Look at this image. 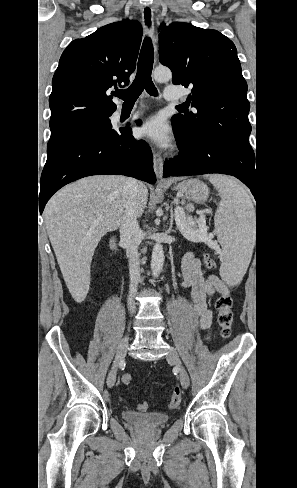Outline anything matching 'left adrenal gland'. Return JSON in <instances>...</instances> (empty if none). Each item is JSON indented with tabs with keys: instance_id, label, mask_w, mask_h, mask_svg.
I'll use <instances>...</instances> for the list:
<instances>
[{
	"instance_id": "obj_1",
	"label": "left adrenal gland",
	"mask_w": 297,
	"mask_h": 488,
	"mask_svg": "<svg viewBox=\"0 0 297 488\" xmlns=\"http://www.w3.org/2000/svg\"><path fill=\"white\" fill-rule=\"evenodd\" d=\"M172 209H173V206L171 205V214H173V210Z\"/></svg>"
}]
</instances>
